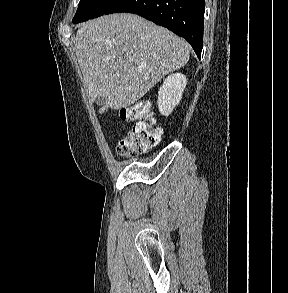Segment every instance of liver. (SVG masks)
Masks as SVG:
<instances>
[{"label":"liver","instance_id":"obj_1","mask_svg":"<svg viewBox=\"0 0 288 293\" xmlns=\"http://www.w3.org/2000/svg\"><path fill=\"white\" fill-rule=\"evenodd\" d=\"M75 51L89 100L105 99L99 112L134 104L189 60L185 40L144 18L119 13L83 23Z\"/></svg>","mask_w":288,"mask_h":293}]
</instances>
